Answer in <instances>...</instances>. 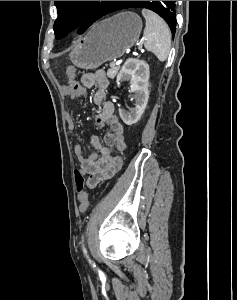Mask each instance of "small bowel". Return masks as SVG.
I'll use <instances>...</instances> for the list:
<instances>
[{"instance_id": "small-bowel-1", "label": "small bowel", "mask_w": 237, "mask_h": 300, "mask_svg": "<svg viewBox=\"0 0 237 300\" xmlns=\"http://www.w3.org/2000/svg\"><path fill=\"white\" fill-rule=\"evenodd\" d=\"M75 73L70 75V80L74 81ZM82 85L80 90H75L71 85L61 88L65 97L70 99L78 98L84 93L85 88L98 86L94 94V103L101 107V111L96 116V123L105 128L103 141L97 136H91L89 139V148L91 149L85 155V147L77 146L75 153L80 162V171L87 174V186L95 188L98 184L112 178L122 167V157L120 154L125 149V131L117 116L114 114L115 106L111 101L106 100V90L109 86V80L106 72L99 69L93 73H86L81 78ZM68 128H74V122L68 113L66 116ZM88 209V200L80 201L79 210L85 213Z\"/></svg>"}]
</instances>
